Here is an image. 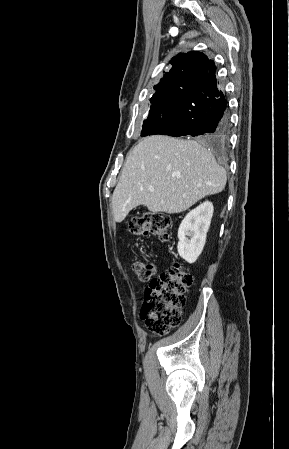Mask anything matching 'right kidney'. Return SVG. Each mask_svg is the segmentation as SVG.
<instances>
[{"label":"right kidney","instance_id":"ca27d5eb","mask_svg":"<svg viewBox=\"0 0 289 449\" xmlns=\"http://www.w3.org/2000/svg\"><path fill=\"white\" fill-rule=\"evenodd\" d=\"M213 211L212 202L205 201L191 210L179 226L177 250L188 263H194L204 248Z\"/></svg>","mask_w":289,"mask_h":449}]
</instances>
